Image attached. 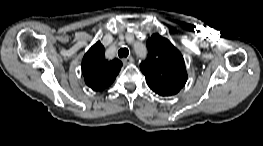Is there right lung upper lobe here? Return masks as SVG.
Here are the masks:
<instances>
[{"label": "right lung upper lobe", "instance_id": "right-lung-upper-lobe-1", "mask_svg": "<svg viewBox=\"0 0 263 146\" xmlns=\"http://www.w3.org/2000/svg\"><path fill=\"white\" fill-rule=\"evenodd\" d=\"M104 46L96 42L84 55L82 74L87 86L95 91H101L110 86L118 75L122 62L118 59L108 61Z\"/></svg>", "mask_w": 263, "mask_h": 146}]
</instances>
